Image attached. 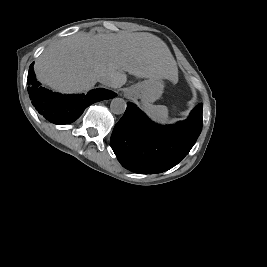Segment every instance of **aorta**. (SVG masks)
Returning <instances> with one entry per match:
<instances>
[{"label": "aorta", "instance_id": "obj_1", "mask_svg": "<svg viewBox=\"0 0 267 267\" xmlns=\"http://www.w3.org/2000/svg\"><path fill=\"white\" fill-rule=\"evenodd\" d=\"M127 103L123 98H114L110 103V110L113 114L120 115L125 112Z\"/></svg>", "mask_w": 267, "mask_h": 267}]
</instances>
